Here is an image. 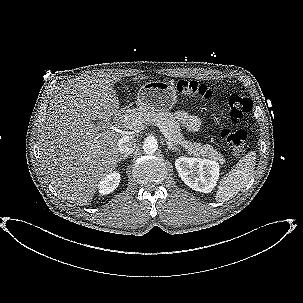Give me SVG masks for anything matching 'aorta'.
I'll return each instance as SVG.
<instances>
[{
	"label": "aorta",
	"instance_id": "1",
	"mask_svg": "<svg viewBox=\"0 0 303 303\" xmlns=\"http://www.w3.org/2000/svg\"><path fill=\"white\" fill-rule=\"evenodd\" d=\"M158 149V142L154 137H147L143 142V151L146 154H152Z\"/></svg>",
	"mask_w": 303,
	"mask_h": 303
}]
</instances>
